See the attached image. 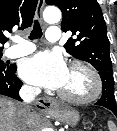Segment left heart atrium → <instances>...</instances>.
Here are the masks:
<instances>
[{"mask_svg":"<svg viewBox=\"0 0 117 131\" xmlns=\"http://www.w3.org/2000/svg\"><path fill=\"white\" fill-rule=\"evenodd\" d=\"M67 71L63 57L56 52H39L24 59L19 68L25 81L50 89H59L63 85Z\"/></svg>","mask_w":117,"mask_h":131,"instance_id":"obj_1","label":"left heart atrium"}]
</instances>
